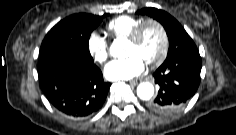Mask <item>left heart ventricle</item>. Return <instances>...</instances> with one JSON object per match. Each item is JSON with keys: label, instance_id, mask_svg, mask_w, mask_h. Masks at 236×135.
I'll list each match as a JSON object with an SVG mask.
<instances>
[{"label": "left heart ventricle", "instance_id": "left-heart-ventricle-1", "mask_svg": "<svg viewBox=\"0 0 236 135\" xmlns=\"http://www.w3.org/2000/svg\"><path fill=\"white\" fill-rule=\"evenodd\" d=\"M162 45L160 31L153 24H148L141 35L137 44L127 42L126 55L138 54L144 62L155 59Z\"/></svg>", "mask_w": 236, "mask_h": 135}]
</instances>
